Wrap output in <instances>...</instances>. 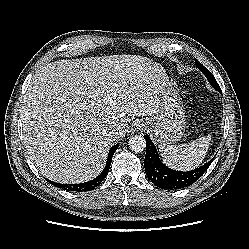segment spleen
Instances as JSON below:
<instances>
[{"mask_svg":"<svg viewBox=\"0 0 249 249\" xmlns=\"http://www.w3.org/2000/svg\"><path fill=\"white\" fill-rule=\"evenodd\" d=\"M210 136L201 137L191 143L181 145H160L164 163L179 171L197 168L205 158L209 148Z\"/></svg>","mask_w":249,"mask_h":249,"instance_id":"3e777b00","label":"spleen"}]
</instances>
